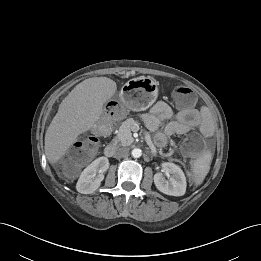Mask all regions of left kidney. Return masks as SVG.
<instances>
[{"label": "left kidney", "mask_w": 261, "mask_h": 261, "mask_svg": "<svg viewBox=\"0 0 261 261\" xmlns=\"http://www.w3.org/2000/svg\"><path fill=\"white\" fill-rule=\"evenodd\" d=\"M162 169L170 176L166 179L162 173H156L154 175V183L157 189L160 192L171 196L184 195L187 183L182 169L170 162L162 163Z\"/></svg>", "instance_id": "left-kidney-1"}]
</instances>
